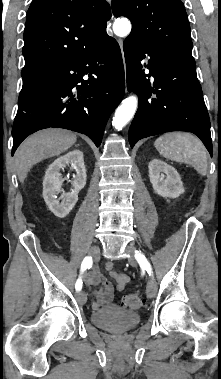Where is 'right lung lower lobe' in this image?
<instances>
[{
	"label": "right lung lower lobe",
	"mask_w": 221,
	"mask_h": 379,
	"mask_svg": "<svg viewBox=\"0 0 221 379\" xmlns=\"http://www.w3.org/2000/svg\"><path fill=\"white\" fill-rule=\"evenodd\" d=\"M22 78L12 155L28 135L49 127L85 134L99 147L107 120L125 91L121 50L108 35L91 49Z\"/></svg>",
	"instance_id": "1"
}]
</instances>
